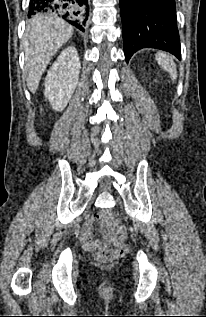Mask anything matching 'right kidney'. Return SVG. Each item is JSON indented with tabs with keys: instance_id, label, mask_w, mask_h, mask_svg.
<instances>
[{
	"instance_id": "right-kidney-1",
	"label": "right kidney",
	"mask_w": 206,
	"mask_h": 317,
	"mask_svg": "<svg viewBox=\"0 0 206 317\" xmlns=\"http://www.w3.org/2000/svg\"><path fill=\"white\" fill-rule=\"evenodd\" d=\"M81 64L75 47L70 46L61 52L45 78V97L52 108L62 111L68 104L78 84Z\"/></svg>"
}]
</instances>
